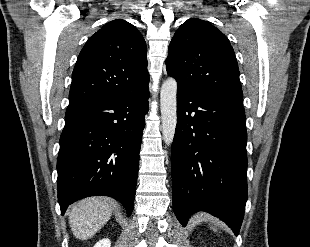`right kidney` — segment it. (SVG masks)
<instances>
[{
  "instance_id": "1",
  "label": "right kidney",
  "mask_w": 310,
  "mask_h": 247,
  "mask_svg": "<svg viewBox=\"0 0 310 247\" xmlns=\"http://www.w3.org/2000/svg\"><path fill=\"white\" fill-rule=\"evenodd\" d=\"M94 247H111V241L108 238L99 240Z\"/></svg>"
}]
</instances>
